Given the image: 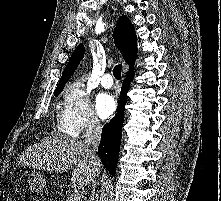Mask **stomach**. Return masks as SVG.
Wrapping results in <instances>:
<instances>
[{
  "label": "stomach",
  "instance_id": "obj_1",
  "mask_svg": "<svg viewBox=\"0 0 221 201\" xmlns=\"http://www.w3.org/2000/svg\"><path fill=\"white\" fill-rule=\"evenodd\" d=\"M28 187L32 192L38 193L41 192L45 185H46V180L45 178L37 172H32L28 176Z\"/></svg>",
  "mask_w": 221,
  "mask_h": 201
}]
</instances>
